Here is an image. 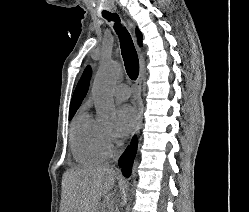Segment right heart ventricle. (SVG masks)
<instances>
[{
	"mask_svg": "<svg viewBox=\"0 0 249 212\" xmlns=\"http://www.w3.org/2000/svg\"><path fill=\"white\" fill-rule=\"evenodd\" d=\"M102 127L85 108L74 117L70 129V149L73 158L81 164L100 163L104 154L100 145Z\"/></svg>",
	"mask_w": 249,
	"mask_h": 212,
	"instance_id": "1",
	"label": "right heart ventricle"
}]
</instances>
